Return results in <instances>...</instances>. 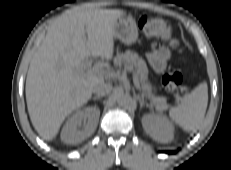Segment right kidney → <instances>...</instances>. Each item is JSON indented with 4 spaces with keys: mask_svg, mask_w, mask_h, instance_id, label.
I'll return each instance as SVG.
<instances>
[{
    "mask_svg": "<svg viewBox=\"0 0 231 170\" xmlns=\"http://www.w3.org/2000/svg\"><path fill=\"white\" fill-rule=\"evenodd\" d=\"M99 116L100 110L97 107H88L77 111L63 126L61 140L66 144H78L85 140L94 133Z\"/></svg>",
    "mask_w": 231,
    "mask_h": 170,
    "instance_id": "ca27d5eb",
    "label": "right kidney"
}]
</instances>
